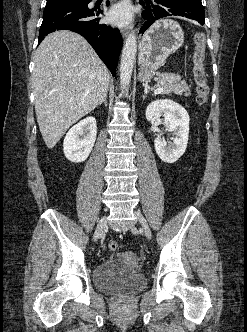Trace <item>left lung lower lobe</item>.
I'll list each match as a JSON object with an SVG mask.
<instances>
[{
    "mask_svg": "<svg viewBox=\"0 0 247 332\" xmlns=\"http://www.w3.org/2000/svg\"><path fill=\"white\" fill-rule=\"evenodd\" d=\"M145 9L142 13L143 18L147 20L141 32L144 33L155 20L166 16H181L192 19L205 24V13L201 2H194L188 0H167L155 1L151 0L140 1Z\"/></svg>",
    "mask_w": 247,
    "mask_h": 332,
    "instance_id": "left-lung-lower-lobe-1",
    "label": "left lung lower lobe"
}]
</instances>
